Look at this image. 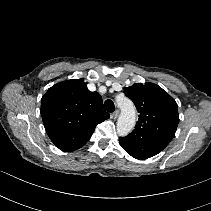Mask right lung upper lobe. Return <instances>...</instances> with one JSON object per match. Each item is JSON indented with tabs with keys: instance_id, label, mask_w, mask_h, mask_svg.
<instances>
[{
	"instance_id": "right-lung-upper-lobe-1",
	"label": "right lung upper lobe",
	"mask_w": 211,
	"mask_h": 211,
	"mask_svg": "<svg viewBox=\"0 0 211 211\" xmlns=\"http://www.w3.org/2000/svg\"><path fill=\"white\" fill-rule=\"evenodd\" d=\"M102 98L90 92L82 79L53 85L41 99V116L52 142L62 151L81 148L97 124L109 118Z\"/></svg>"
}]
</instances>
